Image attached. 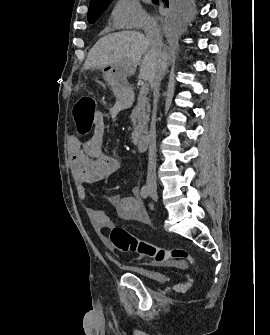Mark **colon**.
Returning <instances> with one entry per match:
<instances>
[{
    "label": "colon",
    "mask_w": 270,
    "mask_h": 335,
    "mask_svg": "<svg viewBox=\"0 0 270 335\" xmlns=\"http://www.w3.org/2000/svg\"><path fill=\"white\" fill-rule=\"evenodd\" d=\"M79 110L73 111L76 117L77 133L88 135L94 125L96 102L92 98H82L76 103ZM110 239L115 248L121 252L137 253L142 258L152 260L158 264H171L185 268L188 266L198 270L197 259L184 248H162L146 240L140 239L124 228L114 227L110 232Z\"/></svg>",
    "instance_id": "5ec220e1"
}]
</instances>
